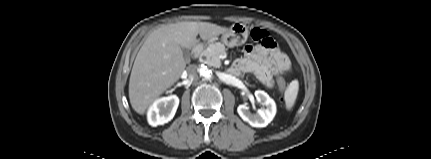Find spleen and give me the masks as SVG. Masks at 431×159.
Returning a JSON list of instances; mask_svg holds the SVG:
<instances>
[{"label": "spleen", "mask_w": 431, "mask_h": 159, "mask_svg": "<svg viewBox=\"0 0 431 159\" xmlns=\"http://www.w3.org/2000/svg\"><path fill=\"white\" fill-rule=\"evenodd\" d=\"M298 89H299V83L297 80H293L286 92H285V105H286V109L287 110H291L292 107L295 104L296 98H297V94H298Z\"/></svg>", "instance_id": "3e777b00"}]
</instances>
